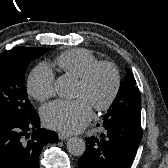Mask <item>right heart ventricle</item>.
Segmentation results:
<instances>
[{
  "instance_id": "e07e8e85",
  "label": "right heart ventricle",
  "mask_w": 168,
  "mask_h": 168,
  "mask_svg": "<svg viewBox=\"0 0 168 168\" xmlns=\"http://www.w3.org/2000/svg\"><path fill=\"white\" fill-rule=\"evenodd\" d=\"M97 61L98 58L91 51L76 48L67 50L58 55L55 63L66 74L79 78Z\"/></svg>"
}]
</instances>
